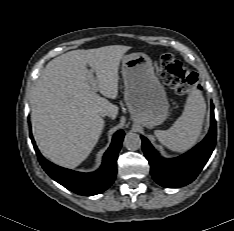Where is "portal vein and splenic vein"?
<instances>
[{
  "label": "portal vein and splenic vein",
  "instance_id": "portal-vein-and-splenic-vein-1",
  "mask_svg": "<svg viewBox=\"0 0 234 231\" xmlns=\"http://www.w3.org/2000/svg\"><path fill=\"white\" fill-rule=\"evenodd\" d=\"M88 78H89V82H90V84H91V86H92V91L93 92H96L97 90H98V85H97V82L95 81V79H94V76H93V74H90L89 76H88Z\"/></svg>",
  "mask_w": 234,
  "mask_h": 231
}]
</instances>
